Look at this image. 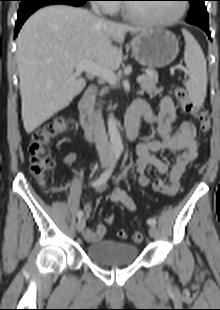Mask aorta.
<instances>
[{
	"instance_id": "obj_1",
	"label": "aorta",
	"mask_w": 220,
	"mask_h": 310,
	"mask_svg": "<svg viewBox=\"0 0 220 310\" xmlns=\"http://www.w3.org/2000/svg\"><path fill=\"white\" fill-rule=\"evenodd\" d=\"M108 135L110 138V144L115 150H122L123 144L118 130L117 121L113 114H110L107 121Z\"/></svg>"
}]
</instances>
